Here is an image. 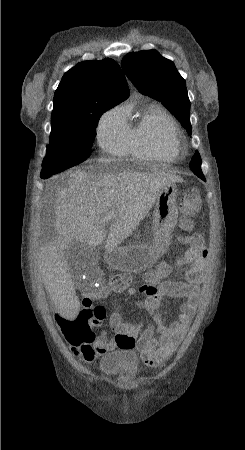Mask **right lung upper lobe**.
Here are the masks:
<instances>
[{
  "mask_svg": "<svg viewBox=\"0 0 245 450\" xmlns=\"http://www.w3.org/2000/svg\"><path fill=\"white\" fill-rule=\"evenodd\" d=\"M129 96L125 76L110 58L84 61L67 71L55 91L52 117L87 111L98 103H116Z\"/></svg>",
  "mask_w": 245,
  "mask_h": 450,
  "instance_id": "1",
  "label": "right lung upper lobe"
}]
</instances>
